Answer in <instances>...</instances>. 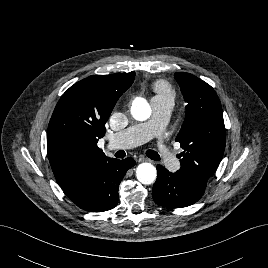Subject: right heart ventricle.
Here are the masks:
<instances>
[{
  "mask_svg": "<svg viewBox=\"0 0 268 268\" xmlns=\"http://www.w3.org/2000/svg\"><path fill=\"white\" fill-rule=\"evenodd\" d=\"M154 91L156 93L155 98L168 101L171 104L176 97V93L173 87L165 81L156 82L154 85Z\"/></svg>",
  "mask_w": 268,
  "mask_h": 268,
  "instance_id": "e07e8e85",
  "label": "right heart ventricle"
}]
</instances>
